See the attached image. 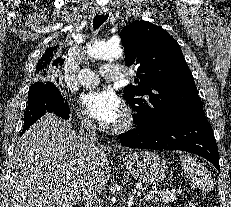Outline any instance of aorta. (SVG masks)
Returning a JSON list of instances; mask_svg holds the SVG:
<instances>
[{
  "mask_svg": "<svg viewBox=\"0 0 231 207\" xmlns=\"http://www.w3.org/2000/svg\"><path fill=\"white\" fill-rule=\"evenodd\" d=\"M87 52L90 57L100 60H114L123 56V49L118 44L104 41H96Z\"/></svg>",
  "mask_w": 231,
  "mask_h": 207,
  "instance_id": "aorta-1",
  "label": "aorta"
}]
</instances>
